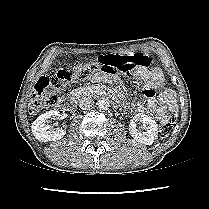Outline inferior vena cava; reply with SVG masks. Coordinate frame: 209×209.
Segmentation results:
<instances>
[{
	"instance_id": "1",
	"label": "inferior vena cava",
	"mask_w": 209,
	"mask_h": 209,
	"mask_svg": "<svg viewBox=\"0 0 209 209\" xmlns=\"http://www.w3.org/2000/svg\"><path fill=\"white\" fill-rule=\"evenodd\" d=\"M94 105L91 97H83L79 100V107L83 110H90Z\"/></svg>"
}]
</instances>
